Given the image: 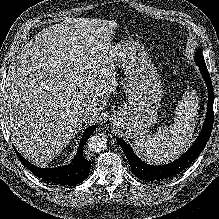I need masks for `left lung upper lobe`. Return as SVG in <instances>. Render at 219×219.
<instances>
[{"instance_id": "5c2ea615", "label": "left lung upper lobe", "mask_w": 219, "mask_h": 219, "mask_svg": "<svg viewBox=\"0 0 219 219\" xmlns=\"http://www.w3.org/2000/svg\"><path fill=\"white\" fill-rule=\"evenodd\" d=\"M195 62H197V63L199 62V63H204L205 64V61H204L201 49H197V51H196Z\"/></svg>"}]
</instances>
